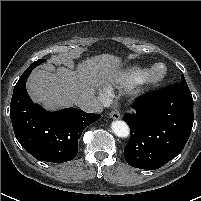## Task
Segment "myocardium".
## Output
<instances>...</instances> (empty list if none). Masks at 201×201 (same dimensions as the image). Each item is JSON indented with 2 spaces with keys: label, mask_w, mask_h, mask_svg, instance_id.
Wrapping results in <instances>:
<instances>
[{
  "label": "myocardium",
  "mask_w": 201,
  "mask_h": 201,
  "mask_svg": "<svg viewBox=\"0 0 201 201\" xmlns=\"http://www.w3.org/2000/svg\"><path fill=\"white\" fill-rule=\"evenodd\" d=\"M157 67H162V72L159 75H154V70ZM167 73V67L163 63H156L149 70H147L144 77L138 83L140 85V88L137 90V92L141 94L147 88L158 86L165 80Z\"/></svg>",
  "instance_id": "obj_1"
}]
</instances>
